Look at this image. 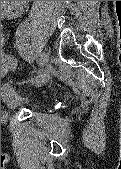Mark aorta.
I'll return each instance as SVG.
<instances>
[{
  "mask_svg": "<svg viewBox=\"0 0 121 169\" xmlns=\"http://www.w3.org/2000/svg\"><path fill=\"white\" fill-rule=\"evenodd\" d=\"M28 2L29 1H1V3H2L1 6L4 4L3 6H6V7L10 6V8H12L9 10H16L17 11L19 8L21 9V8L25 7ZM15 8H18V9H15Z\"/></svg>",
  "mask_w": 121,
  "mask_h": 169,
  "instance_id": "1",
  "label": "aorta"
}]
</instances>
